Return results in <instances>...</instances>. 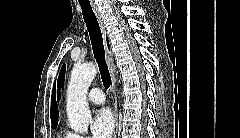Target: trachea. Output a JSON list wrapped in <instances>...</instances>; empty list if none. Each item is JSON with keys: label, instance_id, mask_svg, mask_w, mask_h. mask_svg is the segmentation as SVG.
<instances>
[{"label": "trachea", "instance_id": "1", "mask_svg": "<svg viewBox=\"0 0 240 138\" xmlns=\"http://www.w3.org/2000/svg\"><path fill=\"white\" fill-rule=\"evenodd\" d=\"M84 22L89 32L94 57L98 63L101 79L105 88L111 85V76L105 61L102 33L91 5L80 4Z\"/></svg>", "mask_w": 240, "mask_h": 138}]
</instances>
